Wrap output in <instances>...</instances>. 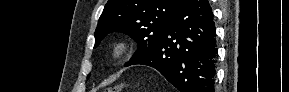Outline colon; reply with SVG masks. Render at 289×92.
<instances>
[{
    "label": "colon",
    "instance_id": "5ec220e1",
    "mask_svg": "<svg viewBox=\"0 0 289 92\" xmlns=\"http://www.w3.org/2000/svg\"><path fill=\"white\" fill-rule=\"evenodd\" d=\"M123 89V85H116L106 89L104 92H119Z\"/></svg>",
    "mask_w": 289,
    "mask_h": 92
}]
</instances>
